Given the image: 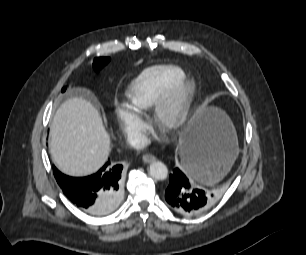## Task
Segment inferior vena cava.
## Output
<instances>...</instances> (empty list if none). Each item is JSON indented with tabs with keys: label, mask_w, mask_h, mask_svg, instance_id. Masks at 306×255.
I'll use <instances>...</instances> for the list:
<instances>
[{
	"label": "inferior vena cava",
	"mask_w": 306,
	"mask_h": 255,
	"mask_svg": "<svg viewBox=\"0 0 306 255\" xmlns=\"http://www.w3.org/2000/svg\"><path fill=\"white\" fill-rule=\"evenodd\" d=\"M127 143L134 149H141L147 146L148 139L144 134L135 132L128 135Z\"/></svg>",
	"instance_id": "602c4592"
}]
</instances>
